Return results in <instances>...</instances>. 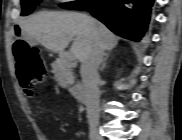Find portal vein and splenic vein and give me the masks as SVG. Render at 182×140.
Returning a JSON list of instances; mask_svg holds the SVG:
<instances>
[{"label":"portal vein and splenic vein","instance_id":"portal-vein-and-splenic-vein-1","mask_svg":"<svg viewBox=\"0 0 182 140\" xmlns=\"http://www.w3.org/2000/svg\"><path fill=\"white\" fill-rule=\"evenodd\" d=\"M65 60L68 62L75 60V56L73 55V53L71 51L65 53Z\"/></svg>","mask_w":182,"mask_h":140}]
</instances>
